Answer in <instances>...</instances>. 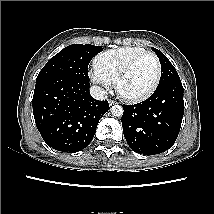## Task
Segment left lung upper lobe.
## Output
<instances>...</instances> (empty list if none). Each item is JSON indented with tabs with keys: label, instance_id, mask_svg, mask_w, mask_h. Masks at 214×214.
<instances>
[{
	"label": "left lung upper lobe",
	"instance_id": "5c2ea615",
	"mask_svg": "<svg viewBox=\"0 0 214 214\" xmlns=\"http://www.w3.org/2000/svg\"><path fill=\"white\" fill-rule=\"evenodd\" d=\"M152 50L158 56L160 64H161L162 72H161V78H160L158 87L168 84L170 82L180 81V78H179V75H178L176 69L171 64V62L168 60V58L161 51L157 50L156 48H152Z\"/></svg>",
	"mask_w": 214,
	"mask_h": 214
}]
</instances>
